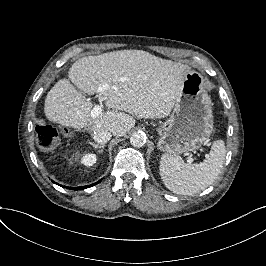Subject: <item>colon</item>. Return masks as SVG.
Returning <instances> with one entry per match:
<instances>
[{
  "mask_svg": "<svg viewBox=\"0 0 266 266\" xmlns=\"http://www.w3.org/2000/svg\"><path fill=\"white\" fill-rule=\"evenodd\" d=\"M39 146L44 150H52L57 145L58 132L53 125L41 122L36 126Z\"/></svg>",
  "mask_w": 266,
  "mask_h": 266,
  "instance_id": "colon-1",
  "label": "colon"
}]
</instances>
